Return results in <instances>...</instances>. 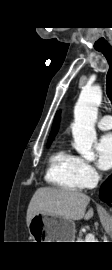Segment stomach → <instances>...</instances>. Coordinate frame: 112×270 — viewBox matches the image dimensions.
I'll use <instances>...</instances> for the list:
<instances>
[{"label":"stomach","mask_w":112,"mask_h":270,"mask_svg":"<svg viewBox=\"0 0 112 270\" xmlns=\"http://www.w3.org/2000/svg\"><path fill=\"white\" fill-rule=\"evenodd\" d=\"M34 242H74L75 223L72 220L47 214H36L28 225Z\"/></svg>","instance_id":"0dacf381"}]
</instances>
